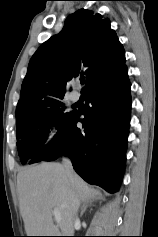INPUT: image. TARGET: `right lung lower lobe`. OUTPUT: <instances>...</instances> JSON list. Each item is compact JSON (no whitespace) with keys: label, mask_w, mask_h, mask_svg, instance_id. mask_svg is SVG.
Masks as SVG:
<instances>
[{"label":"right lung lower lobe","mask_w":158,"mask_h":237,"mask_svg":"<svg viewBox=\"0 0 158 237\" xmlns=\"http://www.w3.org/2000/svg\"><path fill=\"white\" fill-rule=\"evenodd\" d=\"M130 82L123 64L84 92L85 117L74 112L54 138L30 163L52 161L62 154L71 158L74 170L88 183L117 192L125 167L130 122ZM81 122L83 129L76 126Z\"/></svg>","instance_id":"98d812e1"}]
</instances>
